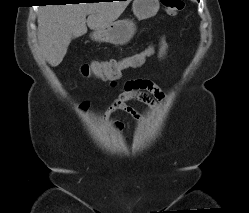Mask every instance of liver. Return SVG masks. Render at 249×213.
<instances>
[{
  "label": "liver",
  "instance_id": "1",
  "mask_svg": "<svg viewBox=\"0 0 249 213\" xmlns=\"http://www.w3.org/2000/svg\"><path fill=\"white\" fill-rule=\"evenodd\" d=\"M130 1L41 7L38 14V42L47 62L52 67L58 66L66 55L72 38L86 34L87 26L97 30L113 23L124 12Z\"/></svg>",
  "mask_w": 249,
  "mask_h": 213
}]
</instances>
